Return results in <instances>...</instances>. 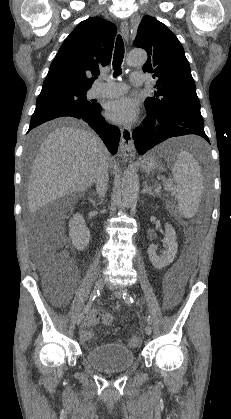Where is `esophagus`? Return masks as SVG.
<instances>
[{
    "instance_id": "esophagus-1",
    "label": "esophagus",
    "mask_w": 231,
    "mask_h": 419,
    "mask_svg": "<svg viewBox=\"0 0 231 419\" xmlns=\"http://www.w3.org/2000/svg\"><path fill=\"white\" fill-rule=\"evenodd\" d=\"M120 30L124 39L128 41L129 27L126 21L121 23ZM119 151L123 158H132L136 155V149L133 143L132 131L130 127L125 126L121 128Z\"/></svg>"
}]
</instances>
